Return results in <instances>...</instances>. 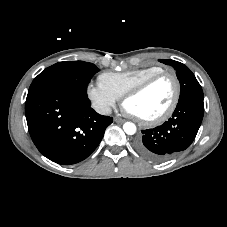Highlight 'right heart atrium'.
I'll return each mask as SVG.
<instances>
[{
  "label": "right heart atrium",
  "instance_id": "obj_1",
  "mask_svg": "<svg viewBox=\"0 0 227 227\" xmlns=\"http://www.w3.org/2000/svg\"><path fill=\"white\" fill-rule=\"evenodd\" d=\"M87 96L93 107L101 114L110 113L118 101V97L100 82L87 86Z\"/></svg>",
  "mask_w": 227,
  "mask_h": 227
}]
</instances>
